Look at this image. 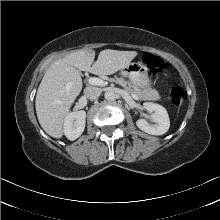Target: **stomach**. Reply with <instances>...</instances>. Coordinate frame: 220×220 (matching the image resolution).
Masks as SVG:
<instances>
[{
  "instance_id": "obj_1",
  "label": "stomach",
  "mask_w": 220,
  "mask_h": 220,
  "mask_svg": "<svg viewBox=\"0 0 220 220\" xmlns=\"http://www.w3.org/2000/svg\"><path fill=\"white\" fill-rule=\"evenodd\" d=\"M122 74L127 76L132 85L143 90L154 91L152 80L149 78L147 68L141 62L129 63L123 68Z\"/></svg>"
}]
</instances>
